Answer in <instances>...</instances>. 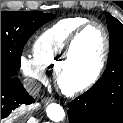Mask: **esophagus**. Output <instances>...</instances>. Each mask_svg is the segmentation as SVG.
<instances>
[{"label":"esophagus","instance_id":"obj_1","mask_svg":"<svg viewBox=\"0 0 123 123\" xmlns=\"http://www.w3.org/2000/svg\"><path fill=\"white\" fill-rule=\"evenodd\" d=\"M53 101V98H51V97H46V98H43L42 99V103L44 104V105H47V104H49L50 102H52Z\"/></svg>","mask_w":123,"mask_h":123}]
</instances>
